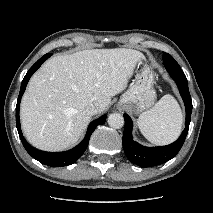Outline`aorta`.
I'll list each match as a JSON object with an SVG mask.
<instances>
[{
  "label": "aorta",
  "instance_id": "obj_1",
  "mask_svg": "<svg viewBox=\"0 0 213 213\" xmlns=\"http://www.w3.org/2000/svg\"><path fill=\"white\" fill-rule=\"evenodd\" d=\"M108 124L112 128L120 129L124 126V118L119 113H112L108 116Z\"/></svg>",
  "mask_w": 213,
  "mask_h": 213
}]
</instances>
